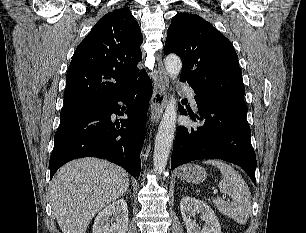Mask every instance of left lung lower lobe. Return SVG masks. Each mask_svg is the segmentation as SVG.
Returning a JSON list of instances; mask_svg holds the SVG:
<instances>
[{"label":"left lung lower lobe","instance_id":"1","mask_svg":"<svg viewBox=\"0 0 306 233\" xmlns=\"http://www.w3.org/2000/svg\"><path fill=\"white\" fill-rule=\"evenodd\" d=\"M194 98L201 120L205 122L197 128H178L171 169L196 159H222L240 166L256 185V155L251 145L250 127L246 121L247 106L244 101L196 93ZM179 111L187 114L182 106Z\"/></svg>","mask_w":306,"mask_h":233}]
</instances>
